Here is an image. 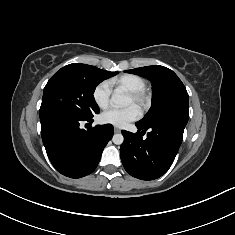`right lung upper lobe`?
<instances>
[{"label": "right lung upper lobe", "mask_w": 235, "mask_h": 235, "mask_svg": "<svg viewBox=\"0 0 235 235\" xmlns=\"http://www.w3.org/2000/svg\"><path fill=\"white\" fill-rule=\"evenodd\" d=\"M72 66H77V67H90L91 65H85V64H77V63H73V64H70Z\"/></svg>", "instance_id": "cb5924a9"}]
</instances>
